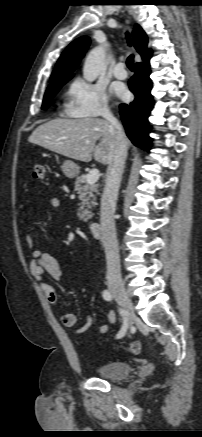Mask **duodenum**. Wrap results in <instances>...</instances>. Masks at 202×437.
Here are the masks:
<instances>
[{
    "mask_svg": "<svg viewBox=\"0 0 202 437\" xmlns=\"http://www.w3.org/2000/svg\"><path fill=\"white\" fill-rule=\"evenodd\" d=\"M89 232L94 238H99L101 235V224L99 222H91L89 224Z\"/></svg>",
    "mask_w": 202,
    "mask_h": 437,
    "instance_id": "1",
    "label": "duodenum"
}]
</instances>
